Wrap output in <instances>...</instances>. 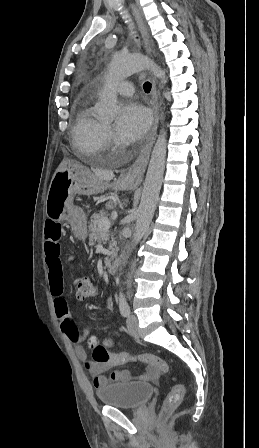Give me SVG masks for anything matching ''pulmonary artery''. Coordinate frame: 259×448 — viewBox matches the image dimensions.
Listing matches in <instances>:
<instances>
[{
    "instance_id": "pulmonary-artery-1",
    "label": "pulmonary artery",
    "mask_w": 259,
    "mask_h": 448,
    "mask_svg": "<svg viewBox=\"0 0 259 448\" xmlns=\"http://www.w3.org/2000/svg\"><path fill=\"white\" fill-rule=\"evenodd\" d=\"M139 57L140 55L138 53L136 54H130L126 57ZM139 70L138 66L129 62V61H122L118 64V82L124 80L126 77L130 76L131 74L137 72ZM113 91L117 94H123V95H130L133 93L132 89L123 88L116 83L113 87Z\"/></svg>"
}]
</instances>
